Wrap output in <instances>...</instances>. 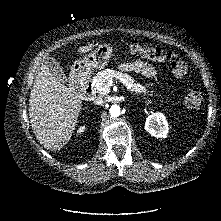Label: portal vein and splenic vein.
Segmentation results:
<instances>
[{
	"label": "portal vein and splenic vein",
	"instance_id": "obj_1",
	"mask_svg": "<svg viewBox=\"0 0 221 221\" xmlns=\"http://www.w3.org/2000/svg\"><path fill=\"white\" fill-rule=\"evenodd\" d=\"M113 83L112 80H108V85L110 86Z\"/></svg>",
	"mask_w": 221,
	"mask_h": 221
}]
</instances>
